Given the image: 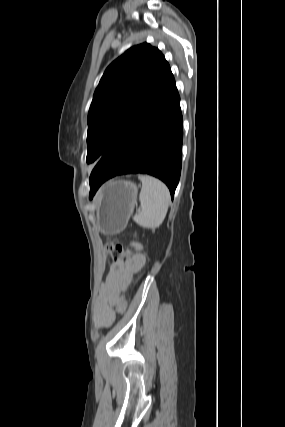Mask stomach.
Here are the masks:
<instances>
[{
	"label": "stomach",
	"mask_w": 285,
	"mask_h": 427,
	"mask_svg": "<svg viewBox=\"0 0 285 427\" xmlns=\"http://www.w3.org/2000/svg\"><path fill=\"white\" fill-rule=\"evenodd\" d=\"M136 184L116 180L106 183L95 199L97 226L103 234L121 232L133 213L137 199Z\"/></svg>",
	"instance_id": "stomach-1"
}]
</instances>
